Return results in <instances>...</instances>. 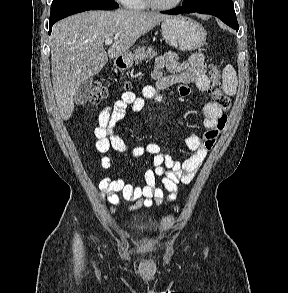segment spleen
Here are the masks:
<instances>
[{
  "label": "spleen",
  "mask_w": 288,
  "mask_h": 293,
  "mask_svg": "<svg viewBox=\"0 0 288 293\" xmlns=\"http://www.w3.org/2000/svg\"><path fill=\"white\" fill-rule=\"evenodd\" d=\"M222 89L226 95L233 96L236 93L238 80L235 69L232 65H227L222 73Z\"/></svg>",
  "instance_id": "spleen-1"
}]
</instances>
